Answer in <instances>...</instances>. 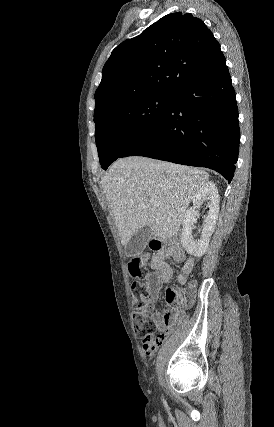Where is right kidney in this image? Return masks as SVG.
Returning <instances> with one entry per match:
<instances>
[{"instance_id": "obj_1", "label": "right kidney", "mask_w": 274, "mask_h": 427, "mask_svg": "<svg viewBox=\"0 0 274 427\" xmlns=\"http://www.w3.org/2000/svg\"><path fill=\"white\" fill-rule=\"evenodd\" d=\"M202 200H208L209 212L204 217L203 229L200 239H194L192 229L196 221V210L201 206ZM219 194L214 182H206L198 188L193 196V208L187 210L183 217V229L181 233V243L187 253L194 257H202L207 251L210 237L215 231V225L219 214Z\"/></svg>"}]
</instances>
